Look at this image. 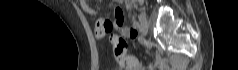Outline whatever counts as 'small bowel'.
<instances>
[{"mask_svg":"<svg viewBox=\"0 0 238 70\" xmlns=\"http://www.w3.org/2000/svg\"><path fill=\"white\" fill-rule=\"evenodd\" d=\"M82 10L91 17H97L99 12L91 7L86 0L79 1ZM121 25V26H119ZM113 28H117L120 35L121 33H131V31L123 26V12L120 8L114 10V21L111 22L104 18H98L95 23V34L97 37L102 38L109 34ZM114 49V48H113Z\"/></svg>","mask_w":238,"mask_h":70,"instance_id":"c3829d8e","label":"small bowel"}]
</instances>
